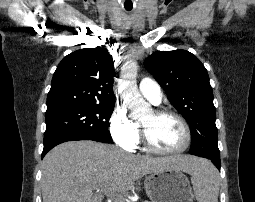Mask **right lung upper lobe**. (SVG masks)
<instances>
[{
  "mask_svg": "<svg viewBox=\"0 0 255 202\" xmlns=\"http://www.w3.org/2000/svg\"><path fill=\"white\" fill-rule=\"evenodd\" d=\"M114 66L104 48L70 53L54 72L46 114L89 104H114Z\"/></svg>",
  "mask_w": 255,
  "mask_h": 202,
  "instance_id": "right-lung-upper-lobe-1",
  "label": "right lung upper lobe"
}]
</instances>
